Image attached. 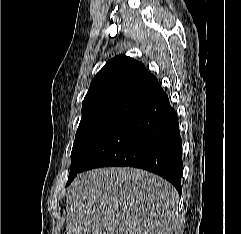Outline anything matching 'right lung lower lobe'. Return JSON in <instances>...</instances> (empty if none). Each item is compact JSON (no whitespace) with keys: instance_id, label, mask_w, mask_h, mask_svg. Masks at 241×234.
Masks as SVG:
<instances>
[{"instance_id":"98d812e1","label":"right lung lower lobe","mask_w":241,"mask_h":234,"mask_svg":"<svg viewBox=\"0 0 241 234\" xmlns=\"http://www.w3.org/2000/svg\"><path fill=\"white\" fill-rule=\"evenodd\" d=\"M130 166L153 172L182 193V140L175 110L162 88L136 105L86 158L80 172Z\"/></svg>"}]
</instances>
